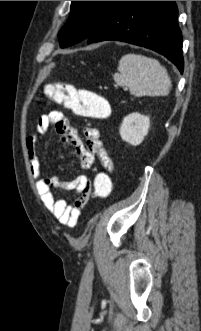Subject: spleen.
<instances>
[{
  "instance_id": "3e777b00",
  "label": "spleen",
  "mask_w": 201,
  "mask_h": 331,
  "mask_svg": "<svg viewBox=\"0 0 201 331\" xmlns=\"http://www.w3.org/2000/svg\"><path fill=\"white\" fill-rule=\"evenodd\" d=\"M113 79L127 86L133 96H167L171 80L167 70L156 59L139 54H126L118 63Z\"/></svg>"
}]
</instances>
